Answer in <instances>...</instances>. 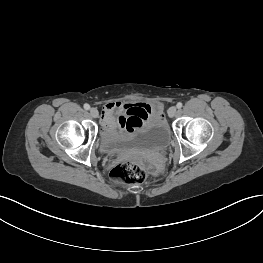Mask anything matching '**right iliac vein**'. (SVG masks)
Here are the masks:
<instances>
[{
  "instance_id": "obj_1",
  "label": "right iliac vein",
  "mask_w": 263,
  "mask_h": 263,
  "mask_svg": "<svg viewBox=\"0 0 263 263\" xmlns=\"http://www.w3.org/2000/svg\"><path fill=\"white\" fill-rule=\"evenodd\" d=\"M90 115L93 117V118H97L98 115H99V112L96 108H91L90 109Z\"/></svg>"
}]
</instances>
